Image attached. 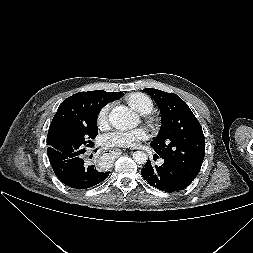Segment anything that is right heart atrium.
I'll use <instances>...</instances> for the list:
<instances>
[{"label": "right heart atrium", "mask_w": 253, "mask_h": 253, "mask_svg": "<svg viewBox=\"0 0 253 253\" xmlns=\"http://www.w3.org/2000/svg\"><path fill=\"white\" fill-rule=\"evenodd\" d=\"M109 108H110L109 105H107L99 111L98 116H97V122L99 125L102 126L106 124L108 120Z\"/></svg>", "instance_id": "1"}]
</instances>
